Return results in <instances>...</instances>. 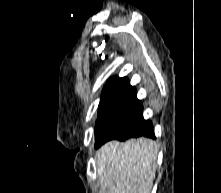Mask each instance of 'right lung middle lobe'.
I'll list each match as a JSON object with an SVG mask.
<instances>
[{
    "instance_id": "dd1d6c3e",
    "label": "right lung middle lobe",
    "mask_w": 221,
    "mask_h": 193,
    "mask_svg": "<svg viewBox=\"0 0 221 193\" xmlns=\"http://www.w3.org/2000/svg\"><path fill=\"white\" fill-rule=\"evenodd\" d=\"M141 102H126L98 111L95 126V148L123 136L144 123Z\"/></svg>"
}]
</instances>
